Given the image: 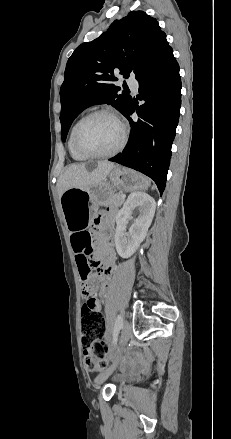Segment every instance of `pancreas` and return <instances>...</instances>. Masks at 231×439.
Instances as JSON below:
<instances>
[{
  "instance_id": "1",
  "label": "pancreas",
  "mask_w": 231,
  "mask_h": 439,
  "mask_svg": "<svg viewBox=\"0 0 231 439\" xmlns=\"http://www.w3.org/2000/svg\"><path fill=\"white\" fill-rule=\"evenodd\" d=\"M121 195H122L121 193L111 194L107 199L108 204L121 206L124 201V199L121 198Z\"/></svg>"
}]
</instances>
